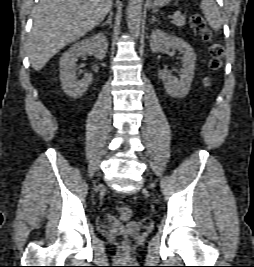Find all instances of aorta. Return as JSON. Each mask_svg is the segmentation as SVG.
<instances>
[{
	"mask_svg": "<svg viewBox=\"0 0 254 267\" xmlns=\"http://www.w3.org/2000/svg\"><path fill=\"white\" fill-rule=\"evenodd\" d=\"M143 0H129L127 6V25L131 35L137 38L141 29Z\"/></svg>",
	"mask_w": 254,
	"mask_h": 267,
	"instance_id": "762f6f07",
	"label": "aorta"
}]
</instances>
